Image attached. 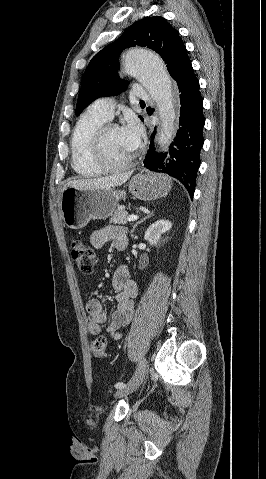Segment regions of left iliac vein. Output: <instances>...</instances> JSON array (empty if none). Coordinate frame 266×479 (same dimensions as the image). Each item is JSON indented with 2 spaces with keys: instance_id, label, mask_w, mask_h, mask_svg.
Segmentation results:
<instances>
[{
  "instance_id": "left-iliac-vein-1",
  "label": "left iliac vein",
  "mask_w": 266,
  "mask_h": 479,
  "mask_svg": "<svg viewBox=\"0 0 266 479\" xmlns=\"http://www.w3.org/2000/svg\"><path fill=\"white\" fill-rule=\"evenodd\" d=\"M147 362L145 358H142L137 366V369L134 375L131 377L129 382L124 388L119 389L115 393L116 398H120L126 396L132 392H134L143 382L145 374H146Z\"/></svg>"
}]
</instances>
